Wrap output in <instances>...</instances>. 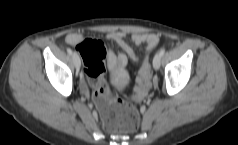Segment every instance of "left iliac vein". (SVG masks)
<instances>
[{"label": "left iliac vein", "instance_id": "left-iliac-vein-1", "mask_svg": "<svg viewBox=\"0 0 238 145\" xmlns=\"http://www.w3.org/2000/svg\"><path fill=\"white\" fill-rule=\"evenodd\" d=\"M160 63H161V57H160V55L158 53V54L155 55V57L153 59V68L155 70H158L159 67H160Z\"/></svg>", "mask_w": 238, "mask_h": 145}]
</instances>
